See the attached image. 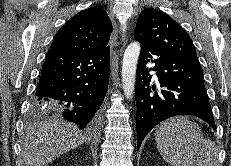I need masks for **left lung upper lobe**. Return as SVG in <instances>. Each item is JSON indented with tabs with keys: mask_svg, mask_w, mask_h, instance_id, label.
<instances>
[{
	"mask_svg": "<svg viewBox=\"0 0 231 166\" xmlns=\"http://www.w3.org/2000/svg\"><path fill=\"white\" fill-rule=\"evenodd\" d=\"M134 36L171 56L198 60L195 47L187 32L160 10H143L138 17Z\"/></svg>",
	"mask_w": 231,
	"mask_h": 166,
	"instance_id": "left-lung-upper-lobe-1",
	"label": "left lung upper lobe"
}]
</instances>
